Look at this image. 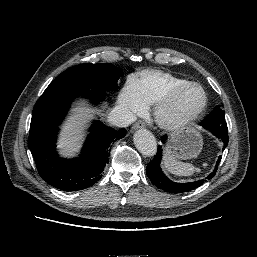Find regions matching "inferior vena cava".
I'll use <instances>...</instances> for the list:
<instances>
[{
	"label": "inferior vena cava",
	"instance_id": "inferior-vena-cava-1",
	"mask_svg": "<svg viewBox=\"0 0 257 257\" xmlns=\"http://www.w3.org/2000/svg\"><path fill=\"white\" fill-rule=\"evenodd\" d=\"M136 120V116L127 108L117 105L108 116V121L117 127H127Z\"/></svg>",
	"mask_w": 257,
	"mask_h": 257
}]
</instances>
